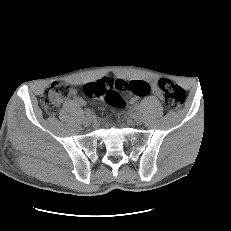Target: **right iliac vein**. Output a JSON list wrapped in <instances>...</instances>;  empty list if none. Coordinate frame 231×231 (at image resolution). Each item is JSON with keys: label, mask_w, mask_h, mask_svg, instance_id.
Instances as JSON below:
<instances>
[{"label": "right iliac vein", "mask_w": 231, "mask_h": 231, "mask_svg": "<svg viewBox=\"0 0 231 231\" xmlns=\"http://www.w3.org/2000/svg\"><path fill=\"white\" fill-rule=\"evenodd\" d=\"M94 122V118L91 115H86L84 118V124L90 125Z\"/></svg>", "instance_id": "obj_1"}]
</instances>
